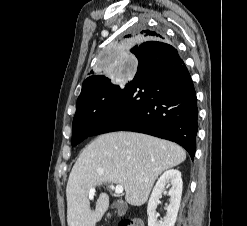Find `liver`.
Wrapping results in <instances>:
<instances>
[{
  "label": "liver",
  "mask_w": 247,
  "mask_h": 226,
  "mask_svg": "<svg viewBox=\"0 0 247 226\" xmlns=\"http://www.w3.org/2000/svg\"><path fill=\"white\" fill-rule=\"evenodd\" d=\"M185 159L182 147L149 135L120 131L98 136L82 151L69 175L68 226H95L107 211V193L99 195L95 210L90 209V188L122 185L126 202L141 206L159 175Z\"/></svg>",
  "instance_id": "liver-1"
}]
</instances>
